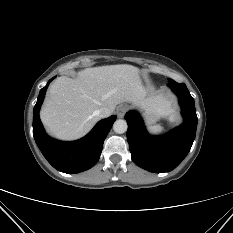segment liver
<instances>
[{
	"label": "liver",
	"mask_w": 233,
	"mask_h": 233,
	"mask_svg": "<svg viewBox=\"0 0 233 233\" xmlns=\"http://www.w3.org/2000/svg\"><path fill=\"white\" fill-rule=\"evenodd\" d=\"M123 102L153 105L160 115L169 112L162 95L148 97L138 68L120 64L86 68L76 79L57 78L49 87L40 118L54 137L75 140L99 121L97 110L108 108L112 113Z\"/></svg>",
	"instance_id": "liver-1"
}]
</instances>
